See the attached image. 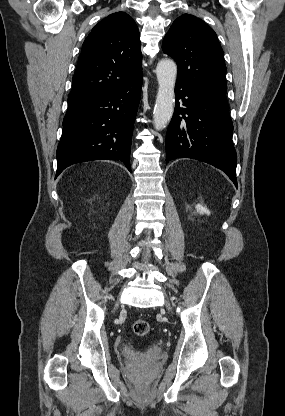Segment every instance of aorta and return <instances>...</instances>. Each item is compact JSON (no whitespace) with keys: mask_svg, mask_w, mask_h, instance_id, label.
<instances>
[{"mask_svg":"<svg viewBox=\"0 0 285 416\" xmlns=\"http://www.w3.org/2000/svg\"><path fill=\"white\" fill-rule=\"evenodd\" d=\"M158 93L154 108V126L156 130L166 127L174 111V87L177 77V66L170 59L161 60L156 67Z\"/></svg>","mask_w":285,"mask_h":416,"instance_id":"762f6f07","label":"aorta"}]
</instances>
